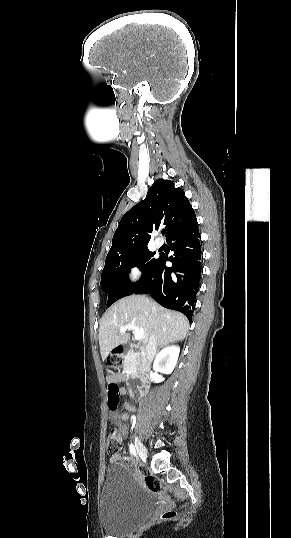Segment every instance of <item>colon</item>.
Returning a JSON list of instances; mask_svg holds the SVG:
<instances>
[{
	"label": "colon",
	"instance_id": "5ec220e1",
	"mask_svg": "<svg viewBox=\"0 0 291 538\" xmlns=\"http://www.w3.org/2000/svg\"><path fill=\"white\" fill-rule=\"evenodd\" d=\"M107 363L112 370L120 369L123 364V358L115 353H112L107 358ZM120 400L119 386L117 384H108V404L111 409H115ZM123 439L118 434L116 428H113L108 437L107 452L110 456H115L122 448ZM145 477L147 487L154 493L162 495L164 494L163 485L161 479L150 475L149 473L142 471ZM174 513L168 511L162 515V518L172 517Z\"/></svg>",
	"mask_w": 291,
	"mask_h": 538
}]
</instances>
